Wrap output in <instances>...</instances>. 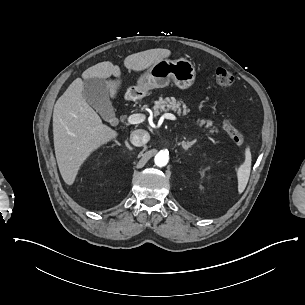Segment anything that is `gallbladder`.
Masks as SVG:
<instances>
[{
  "label": "gallbladder",
  "mask_w": 305,
  "mask_h": 305,
  "mask_svg": "<svg viewBox=\"0 0 305 305\" xmlns=\"http://www.w3.org/2000/svg\"><path fill=\"white\" fill-rule=\"evenodd\" d=\"M83 96L106 121L114 118V109L110 101L105 81L92 78L84 81Z\"/></svg>",
  "instance_id": "1"
}]
</instances>
